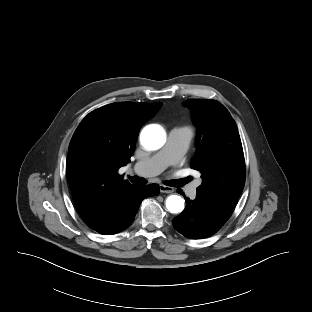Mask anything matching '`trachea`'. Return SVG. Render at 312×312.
I'll use <instances>...</instances> for the list:
<instances>
[{
    "label": "trachea",
    "mask_w": 312,
    "mask_h": 312,
    "mask_svg": "<svg viewBox=\"0 0 312 312\" xmlns=\"http://www.w3.org/2000/svg\"><path fill=\"white\" fill-rule=\"evenodd\" d=\"M130 181L132 183H136V184H146L147 181L142 178V177H138V176H132L129 177ZM192 180V177H187V178H183V179H178V180H171L168 181L166 183V185L172 186V187H181L183 185H185L187 182H190Z\"/></svg>",
    "instance_id": "trachea-1"
}]
</instances>
